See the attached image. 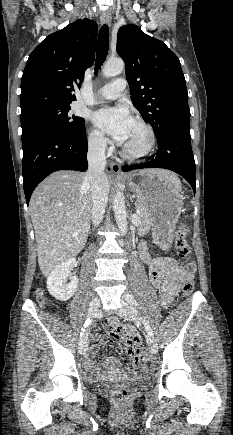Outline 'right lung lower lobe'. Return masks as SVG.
Returning a JSON list of instances; mask_svg holds the SVG:
<instances>
[{"mask_svg": "<svg viewBox=\"0 0 233 435\" xmlns=\"http://www.w3.org/2000/svg\"><path fill=\"white\" fill-rule=\"evenodd\" d=\"M23 186L26 203L36 186L49 174L58 170L85 171L87 137L85 128L77 136L57 131H44L22 139Z\"/></svg>", "mask_w": 233, "mask_h": 435, "instance_id": "right-lung-lower-lobe-1", "label": "right lung lower lobe"}]
</instances>
